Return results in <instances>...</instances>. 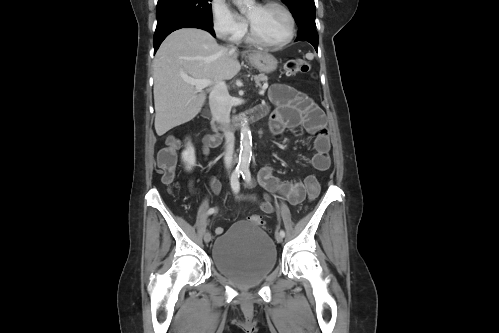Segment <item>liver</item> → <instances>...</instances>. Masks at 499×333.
<instances>
[{
	"instance_id": "1",
	"label": "liver",
	"mask_w": 499,
	"mask_h": 333,
	"mask_svg": "<svg viewBox=\"0 0 499 333\" xmlns=\"http://www.w3.org/2000/svg\"><path fill=\"white\" fill-rule=\"evenodd\" d=\"M235 49L218 45L206 31L182 28L161 44L153 61L155 130L158 136L191 121L201 111L206 92L185 78L211 84L232 79L239 71Z\"/></svg>"
}]
</instances>
